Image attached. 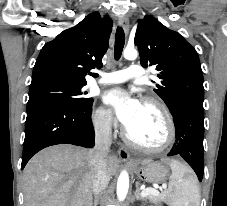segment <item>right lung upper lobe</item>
<instances>
[{
  "label": "right lung upper lobe",
  "mask_w": 227,
  "mask_h": 206,
  "mask_svg": "<svg viewBox=\"0 0 227 206\" xmlns=\"http://www.w3.org/2000/svg\"><path fill=\"white\" fill-rule=\"evenodd\" d=\"M111 31V18H101L98 12L64 30L41 49L33 68L32 83L56 79L86 85V74L91 75L92 68L102 67Z\"/></svg>",
  "instance_id": "1"
}]
</instances>
